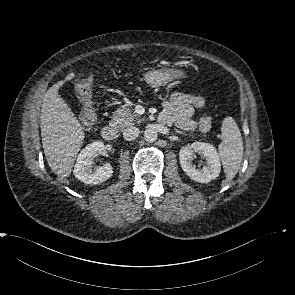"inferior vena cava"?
Instances as JSON below:
<instances>
[{
  "instance_id": "obj_1",
  "label": "inferior vena cava",
  "mask_w": 295,
  "mask_h": 295,
  "mask_svg": "<svg viewBox=\"0 0 295 295\" xmlns=\"http://www.w3.org/2000/svg\"><path fill=\"white\" fill-rule=\"evenodd\" d=\"M139 133H140L139 128L132 126V127L126 128L124 130L123 137L125 140L131 141V140H134L135 138H137Z\"/></svg>"
}]
</instances>
